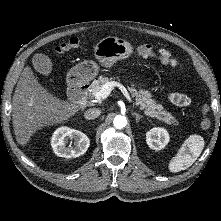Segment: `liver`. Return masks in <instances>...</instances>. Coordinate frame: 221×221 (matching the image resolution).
<instances>
[{"label": "liver", "mask_w": 221, "mask_h": 221, "mask_svg": "<svg viewBox=\"0 0 221 221\" xmlns=\"http://www.w3.org/2000/svg\"><path fill=\"white\" fill-rule=\"evenodd\" d=\"M40 74L47 72L51 59L40 53L32 59ZM81 106L60 100L49 93L35 77L30 67H25L18 81L12 102V119L17 142L25 146L39 129L58 125L74 116Z\"/></svg>", "instance_id": "1"}]
</instances>
